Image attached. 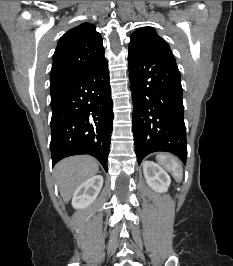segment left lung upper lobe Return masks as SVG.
Wrapping results in <instances>:
<instances>
[{
	"instance_id": "1",
	"label": "left lung upper lobe",
	"mask_w": 233,
	"mask_h": 266,
	"mask_svg": "<svg viewBox=\"0 0 233 266\" xmlns=\"http://www.w3.org/2000/svg\"><path fill=\"white\" fill-rule=\"evenodd\" d=\"M129 48L172 55L169 45L152 27H144L133 32Z\"/></svg>"
}]
</instances>
